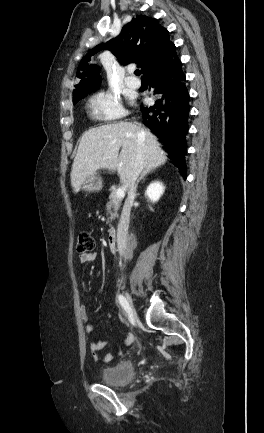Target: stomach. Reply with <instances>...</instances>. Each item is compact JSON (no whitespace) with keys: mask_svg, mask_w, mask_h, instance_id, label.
Wrapping results in <instances>:
<instances>
[{"mask_svg":"<svg viewBox=\"0 0 264 433\" xmlns=\"http://www.w3.org/2000/svg\"><path fill=\"white\" fill-rule=\"evenodd\" d=\"M81 188L85 192H98L102 189V179L96 175L89 176Z\"/></svg>","mask_w":264,"mask_h":433,"instance_id":"obj_1","label":"stomach"}]
</instances>
